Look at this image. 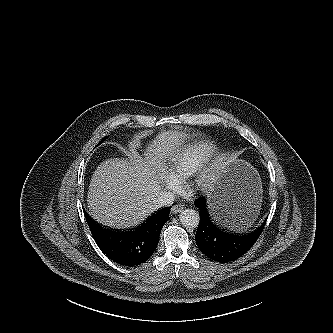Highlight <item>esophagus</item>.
Returning a JSON list of instances; mask_svg holds the SVG:
<instances>
[{
    "mask_svg": "<svg viewBox=\"0 0 333 333\" xmlns=\"http://www.w3.org/2000/svg\"><path fill=\"white\" fill-rule=\"evenodd\" d=\"M183 205H175L171 208V212L173 214H177V213H180L182 210H183Z\"/></svg>",
    "mask_w": 333,
    "mask_h": 333,
    "instance_id": "esophagus-1",
    "label": "esophagus"
}]
</instances>
